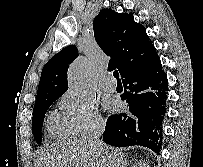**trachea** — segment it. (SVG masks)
Wrapping results in <instances>:
<instances>
[{"mask_svg":"<svg viewBox=\"0 0 203 167\" xmlns=\"http://www.w3.org/2000/svg\"><path fill=\"white\" fill-rule=\"evenodd\" d=\"M113 75H114V77L117 79V81L120 80V79H119V72H118L117 70H115V71L113 72Z\"/></svg>","mask_w":203,"mask_h":167,"instance_id":"trachea-1","label":"trachea"}]
</instances>
